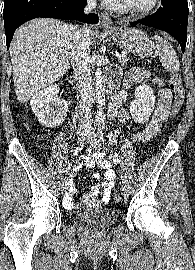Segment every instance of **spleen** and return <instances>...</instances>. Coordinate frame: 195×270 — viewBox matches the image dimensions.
Here are the masks:
<instances>
[{
	"label": "spleen",
	"instance_id": "3e777b00",
	"mask_svg": "<svg viewBox=\"0 0 195 270\" xmlns=\"http://www.w3.org/2000/svg\"><path fill=\"white\" fill-rule=\"evenodd\" d=\"M154 38L163 67L170 73H177L180 70V63L175 50L166 39L158 35H155Z\"/></svg>",
	"mask_w": 195,
	"mask_h": 270
}]
</instances>
